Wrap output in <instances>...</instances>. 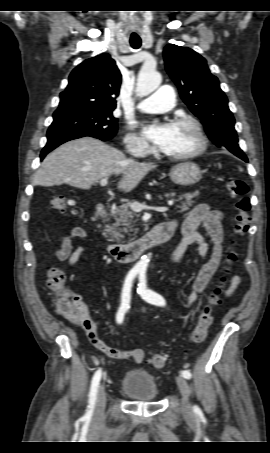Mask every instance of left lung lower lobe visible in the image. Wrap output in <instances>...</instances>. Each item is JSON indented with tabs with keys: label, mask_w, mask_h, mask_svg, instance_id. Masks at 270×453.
Returning a JSON list of instances; mask_svg holds the SVG:
<instances>
[{
	"label": "left lung lower lobe",
	"mask_w": 270,
	"mask_h": 453,
	"mask_svg": "<svg viewBox=\"0 0 270 453\" xmlns=\"http://www.w3.org/2000/svg\"><path fill=\"white\" fill-rule=\"evenodd\" d=\"M235 155L238 156L239 158H241L242 160L246 161V162L248 161L247 157L245 156L244 153H237Z\"/></svg>",
	"instance_id": "obj_1"
}]
</instances>
